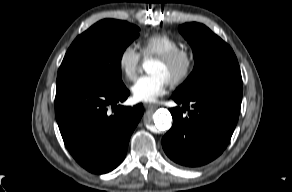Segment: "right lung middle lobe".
Here are the masks:
<instances>
[{
  "mask_svg": "<svg viewBox=\"0 0 292 192\" xmlns=\"http://www.w3.org/2000/svg\"><path fill=\"white\" fill-rule=\"evenodd\" d=\"M138 30L126 21L97 22L73 41L59 68L57 81L76 79L110 90L122 88L121 57Z\"/></svg>",
  "mask_w": 292,
  "mask_h": 192,
  "instance_id": "1",
  "label": "right lung middle lobe"
}]
</instances>
